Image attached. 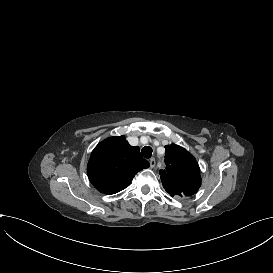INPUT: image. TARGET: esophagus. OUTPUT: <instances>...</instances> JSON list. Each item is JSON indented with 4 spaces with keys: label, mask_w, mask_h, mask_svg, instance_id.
Segmentation results:
<instances>
[{
    "label": "esophagus",
    "mask_w": 273,
    "mask_h": 273,
    "mask_svg": "<svg viewBox=\"0 0 273 273\" xmlns=\"http://www.w3.org/2000/svg\"><path fill=\"white\" fill-rule=\"evenodd\" d=\"M156 165V161L154 158L150 159V167L153 168Z\"/></svg>",
    "instance_id": "1"
}]
</instances>
